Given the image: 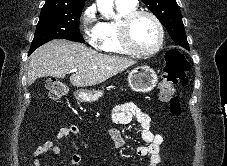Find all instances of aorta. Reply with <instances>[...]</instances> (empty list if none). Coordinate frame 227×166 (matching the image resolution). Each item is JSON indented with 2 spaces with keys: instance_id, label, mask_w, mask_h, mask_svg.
<instances>
[{
  "instance_id": "obj_1",
  "label": "aorta",
  "mask_w": 227,
  "mask_h": 166,
  "mask_svg": "<svg viewBox=\"0 0 227 166\" xmlns=\"http://www.w3.org/2000/svg\"><path fill=\"white\" fill-rule=\"evenodd\" d=\"M98 10L105 16L112 15L113 12V0H96Z\"/></svg>"
}]
</instances>
